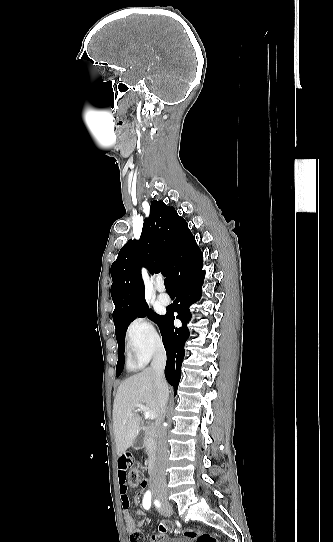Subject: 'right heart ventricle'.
<instances>
[{
  "instance_id": "right-heart-ventricle-1",
  "label": "right heart ventricle",
  "mask_w": 333,
  "mask_h": 542,
  "mask_svg": "<svg viewBox=\"0 0 333 542\" xmlns=\"http://www.w3.org/2000/svg\"><path fill=\"white\" fill-rule=\"evenodd\" d=\"M148 358L143 356L139 351L133 348H128L127 362L133 369H140L147 363Z\"/></svg>"
}]
</instances>
